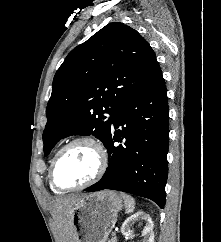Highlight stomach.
I'll return each instance as SVG.
<instances>
[{"instance_id": "obj_1", "label": "stomach", "mask_w": 221, "mask_h": 242, "mask_svg": "<svg viewBox=\"0 0 221 242\" xmlns=\"http://www.w3.org/2000/svg\"><path fill=\"white\" fill-rule=\"evenodd\" d=\"M122 206L121 197L113 191L82 196L70 209L74 242H106Z\"/></svg>"}]
</instances>
